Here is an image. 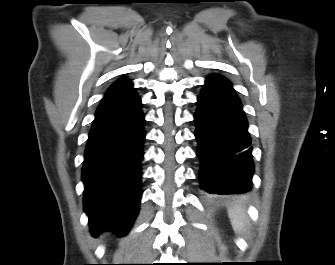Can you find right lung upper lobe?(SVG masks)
<instances>
[{"instance_id": "cb5924a9", "label": "right lung upper lobe", "mask_w": 335, "mask_h": 265, "mask_svg": "<svg viewBox=\"0 0 335 265\" xmlns=\"http://www.w3.org/2000/svg\"><path fill=\"white\" fill-rule=\"evenodd\" d=\"M131 90H134L133 83L127 78H121L109 87L106 95L124 93Z\"/></svg>"}]
</instances>
